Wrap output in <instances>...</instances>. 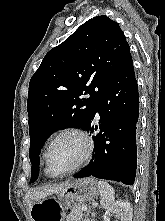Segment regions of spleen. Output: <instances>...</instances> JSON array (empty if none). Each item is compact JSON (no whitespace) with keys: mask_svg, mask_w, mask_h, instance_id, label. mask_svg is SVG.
Returning a JSON list of instances; mask_svg holds the SVG:
<instances>
[{"mask_svg":"<svg viewBox=\"0 0 165 221\" xmlns=\"http://www.w3.org/2000/svg\"><path fill=\"white\" fill-rule=\"evenodd\" d=\"M100 192V204L104 209H109L114 204V189L107 182L98 181L97 183Z\"/></svg>","mask_w":165,"mask_h":221,"instance_id":"obj_1","label":"spleen"}]
</instances>
